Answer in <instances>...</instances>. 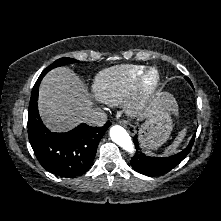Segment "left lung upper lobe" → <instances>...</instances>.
<instances>
[{
  "instance_id": "obj_1",
  "label": "left lung upper lobe",
  "mask_w": 221,
  "mask_h": 221,
  "mask_svg": "<svg viewBox=\"0 0 221 221\" xmlns=\"http://www.w3.org/2000/svg\"><path fill=\"white\" fill-rule=\"evenodd\" d=\"M188 81H189V79L188 78H186ZM189 83H191L190 81H189Z\"/></svg>"
}]
</instances>
